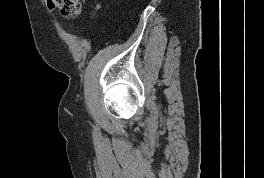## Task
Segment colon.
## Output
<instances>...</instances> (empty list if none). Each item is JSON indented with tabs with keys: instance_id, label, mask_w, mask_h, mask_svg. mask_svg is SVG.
<instances>
[{
	"instance_id": "obj_1",
	"label": "colon",
	"mask_w": 264,
	"mask_h": 178,
	"mask_svg": "<svg viewBox=\"0 0 264 178\" xmlns=\"http://www.w3.org/2000/svg\"><path fill=\"white\" fill-rule=\"evenodd\" d=\"M48 5L58 9L64 17L73 18L80 14L82 0H48Z\"/></svg>"
}]
</instances>
